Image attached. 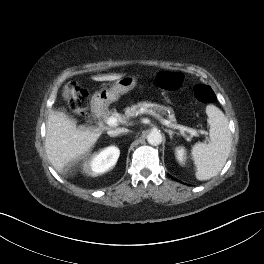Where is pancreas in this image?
<instances>
[{"label": "pancreas", "instance_id": "obj_1", "mask_svg": "<svg viewBox=\"0 0 264 264\" xmlns=\"http://www.w3.org/2000/svg\"><path fill=\"white\" fill-rule=\"evenodd\" d=\"M150 109V112L155 114H165V111L167 110V108L165 106L162 105H158L155 103H151V102H139L136 105H133L131 107H126L125 108V115H123L121 118L124 120L129 119L130 117L136 116L140 113H142V109ZM169 121L173 124H176V118L174 117V115L169 116Z\"/></svg>", "mask_w": 264, "mask_h": 264}]
</instances>
